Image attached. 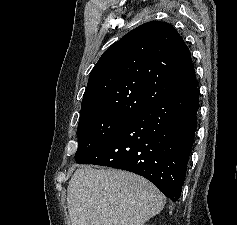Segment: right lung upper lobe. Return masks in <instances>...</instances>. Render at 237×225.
Returning a JSON list of instances; mask_svg holds the SVG:
<instances>
[{"instance_id":"obj_1","label":"right lung upper lobe","mask_w":237,"mask_h":225,"mask_svg":"<svg viewBox=\"0 0 237 225\" xmlns=\"http://www.w3.org/2000/svg\"><path fill=\"white\" fill-rule=\"evenodd\" d=\"M198 82L190 51L169 23L147 22L111 45L92 69L80 118L134 116Z\"/></svg>"}]
</instances>
